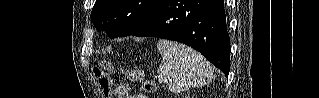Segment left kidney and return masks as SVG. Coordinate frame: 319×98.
Here are the masks:
<instances>
[{"label": "left kidney", "instance_id": "1", "mask_svg": "<svg viewBox=\"0 0 319 98\" xmlns=\"http://www.w3.org/2000/svg\"><path fill=\"white\" fill-rule=\"evenodd\" d=\"M190 96H185V98H189ZM194 97V96H193Z\"/></svg>", "mask_w": 319, "mask_h": 98}]
</instances>
